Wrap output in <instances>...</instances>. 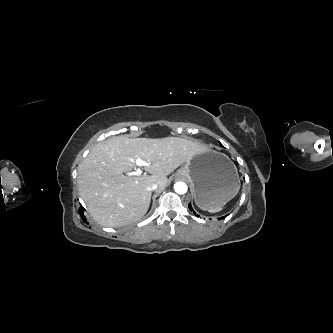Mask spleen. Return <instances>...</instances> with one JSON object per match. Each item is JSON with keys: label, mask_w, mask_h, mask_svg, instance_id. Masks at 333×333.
Returning a JSON list of instances; mask_svg holds the SVG:
<instances>
[{"label": "spleen", "mask_w": 333, "mask_h": 333, "mask_svg": "<svg viewBox=\"0 0 333 333\" xmlns=\"http://www.w3.org/2000/svg\"><path fill=\"white\" fill-rule=\"evenodd\" d=\"M239 188H240V185L238 186L237 193H238V191H239ZM222 207H223V206H221V207H217V208H207V209H205V210H207V211H209V212H211V213H214V212H218V211L222 210Z\"/></svg>", "instance_id": "obj_1"}]
</instances>
